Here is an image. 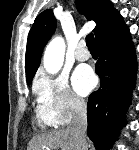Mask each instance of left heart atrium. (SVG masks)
<instances>
[{
	"label": "left heart atrium",
	"mask_w": 139,
	"mask_h": 150,
	"mask_svg": "<svg viewBox=\"0 0 139 150\" xmlns=\"http://www.w3.org/2000/svg\"><path fill=\"white\" fill-rule=\"evenodd\" d=\"M72 82L75 91L78 94L85 96L94 88L96 78L91 69L79 67L73 74Z\"/></svg>",
	"instance_id": "left-heart-atrium-1"
}]
</instances>
